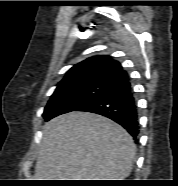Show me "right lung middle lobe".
<instances>
[{
  "label": "right lung middle lobe",
  "instance_id": "obj_1",
  "mask_svg": "<svg viewBox=\"0 0 178 186\" xmlns=\"http://www.w3.org/2000/svg\"><path fill=\"white\" fill-rule=\"evenodd\" d=\"M110 85L87 84L55 91L44 109L43 117L50 120L58 115L75 111L104 92Z\"/></svg>",
  "mask_w": 178,
  "mask_h": 186
}]
</instances>
